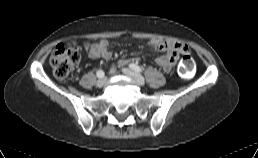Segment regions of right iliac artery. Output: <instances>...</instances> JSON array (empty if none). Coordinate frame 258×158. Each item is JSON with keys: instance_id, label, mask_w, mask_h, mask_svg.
Returning a JSON list of instances; mask_svg holds the SVG:
<instances>
[{"instance_id": "obj_1", "label": "right iliac artery", "mask_w": 258, "mask_h": 158, "mask_svg": "<svg viewBox=\"0 0 258 158\" xmlns=\"http://www.w3.org/2000/svg\"><path fill=\"white\" fill-rule=\"evenodd\" d=\"M97 77L98 78H103L104 77V72L103 70H98L97 73H96Z\"/></svg>"}]
</instances>
